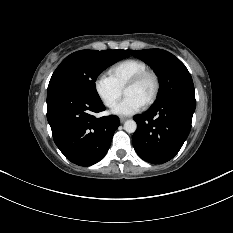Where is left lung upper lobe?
Here are the masks:
<instances>
[{
    "label": "left lung upper lobe",
    "instance_id": "obj_1",
    "mask_svg": "<svg viewBox=\"0 0 233 233\" xmlns=\"http://www.w3.org/2000/svg\"><path fill=\"white\" fill-rule=\"evenodd\" d=\"M128 52L152 66L161 88L156 104L175 98L195 101L194 85L186 66L173 54L162 49L128 50Z\"/></svg>",
    "mask_w": 233,
    "mask_h": 233
}]
</instances>
